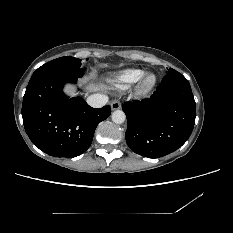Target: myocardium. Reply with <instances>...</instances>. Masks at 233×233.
Masks as SVG:
<instances>
[{
  "instance_id": "1",
  "label": "myocardium",
  "mask_w": 233,
  "mask_h": 233,
  "mask_svg": "<svg viewBox=\"0 0 233 233\" xmlns=\"http://www.w3.org/2000/svg\"><path fill=\"white\" fill-rule=\"evenodd\" d=\"M156 84V75L154 73L146 74L140 82V90L147 92L151 90Z\"/></svg>"
}]
</instances>
